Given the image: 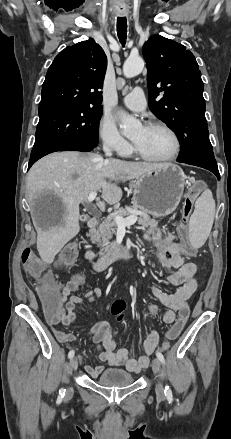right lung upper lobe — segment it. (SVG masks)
<instances>
[{
  "instance_id": "1",
  "label": "right lung upper lobe",
  "mask_w": 231,
  "mask_h": 439,
  "mask_svg": "<svg viewBox=\"0 0 231 439\" xmlns=\"http://www.w3.org/2000/svg\"><path fill=\"white\" fill-rule=\"evenodd\" d=\"M106 68V55L93 39L66 47L47 71L39 116L63 109L102 108L100 90Z\"/></svg>"
}]
</instances>
